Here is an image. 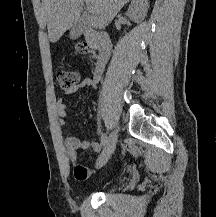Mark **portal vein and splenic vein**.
Instances as JSON below:
<instances>
[{"label":"portal vein and splenic vein","mask_w":216,"mask_h":217,"mask_svg":"<svg viewBox=\"0 0 216 217\" xmlns=\"http://www.w3.org/2000/svg\"><path fill=\"white\" fill-rule=\"evenodd\" d=\"M86 6H87V11H88L89 13H92V9H91V7L89 6L88 3H86Z\"/></svg>","instance_id":"obj_1"}]
</instances>
